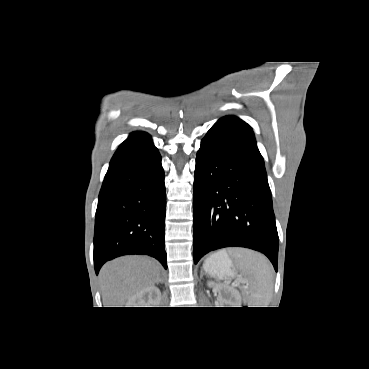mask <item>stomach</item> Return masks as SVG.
<instances>
[{"mask_svg":"<svg viewBox=\"0 0 369 369\" xmlns=\"http://www.w3.org/2000/svg\"><path fill=\"white\" fill-rule=\"evenodd\" d=\"M205 271L219 279H229L236 275L232 260L225 250L214 253L203 265Z\"/></svg>","mask_w":369,"mask_h":369,"instance_id":"stomach-1","label":"stomach"}]
</instances>
